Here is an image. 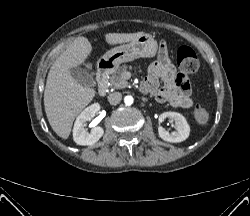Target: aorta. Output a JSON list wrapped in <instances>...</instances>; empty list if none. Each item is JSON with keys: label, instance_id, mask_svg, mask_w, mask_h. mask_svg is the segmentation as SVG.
<instances>
[{"label": "aorta", "instance_id": "1", "mask_svg": "<svg viewBox=\"0 0 250 216\" xmlns=\"http://www.w3.org/2000/svg\"><path fill=\"white\" fill-rule=\"evenodd\" d=\"M124 102H125V104H126L127 106L132 105V104H133V97H132V96H126V97L124 98Z\"/></svg>", "mask_w": 250, "mask_h": 216}]
</instances>
